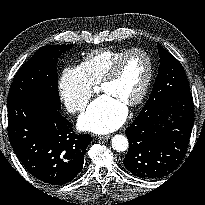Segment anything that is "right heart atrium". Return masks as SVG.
I'll return each mask as SVG.
<instances>
[{
  "mask_svg": "<svg viewBox=\"0 0 205 205\" xmlns=\"http://www.w3.org/2000/svg\"><path fill=\"white\" fill-rule=\"evenodd\" d=\"M58 92L66 109L75 114L85 110L93 94V85L81 66H67L58 79Z\"/></svg>",
  "mask_w": 205,
  "mask_h": 205,
  "instance_id": "obj_1",
  "label": "right heart atrium"
}]
</instances>
